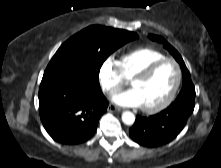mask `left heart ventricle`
<instances>
[{
	"label": "left heart ventricle",
	"instance_id": "1",
	"mask_svg": "<svg viewBox=\"0 0 221 168\" xmlns=\"http://www.w3.org/2000/svg\"><path fill=\"white\" fill-rule=\"evenodd\" d=\"M177 78L173 63L160 65L146 80L133 84L142 101V106H155L164 101L170 94Z\"/></svg>",
	"mask_w": 221,
	"mask_h": 168
}]
</instances>
